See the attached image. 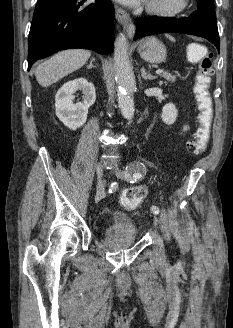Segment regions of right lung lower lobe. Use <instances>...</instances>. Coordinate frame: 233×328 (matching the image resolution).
I'll return each mask as SVG.
<instances>
[{
    "label": "right lung lower lobe",
    "instance_id": "98d812e1",
    "mask_svg": "<svg viewBox=\"0 0 233 328\" xmlns=\"http://www.w3.org/2000/svg\"><path fill=\"white\" fill-rule=\"evenodd\" d=\"M86 1V0H83ZM114 7L109 0H38L28 40V70L38 59L71 48L113 51Z\"/></svg>",
    "mask_w": 233,
    "mask_h": 328
}]
</instances>
